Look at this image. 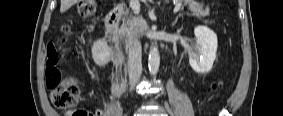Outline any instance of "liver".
<instances>
[{
	"label": "liver",
	"mask_w": 283,
	"mask_h": 116,
	"mask_svg": "<svg viewBox=\"0 0 283 116\" xmlns=\"http://www.w3.org/2000/svg\"><path fill=\"white\" fill-rule=\"evenodd\" d=\"M77 2L78 0H61L60 12L64 13Z\"/></svg>",
	"instance_id": "liver-1"
}]
</instances>
